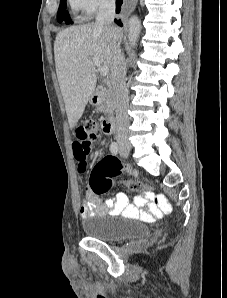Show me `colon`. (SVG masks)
<instances>
[{
    "label": "colon",
    "instance_id": "obj_1",
    "mask_svg": "<svg viewBox=\"0 0 227 298\" xmlns=\"http://www.w3.org/2000/svg\"><path fill=\"white\" fill-rule=\"evenodd\" d=\"M100 135L101 130L94 120L85 122L75 131V139H81V142H93ZM121 172L122 165L115 157L108 156L103 158L92 169L89 181L91 191L97 195L106 194L112 188L114 178ZM125 184L132 191H147L151 189L150 185H144L136 181H126ZM154 203L161 210L168 204L161 195L155 197Z\"/></svg>",
    "mask_w": 227,
    "mask_h": 298
}]
</instances>
